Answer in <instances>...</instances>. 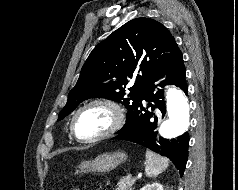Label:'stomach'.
Here are the masks:
<instances>
[{
	"mask_svg": "<svg viewBox=\"0 0 238 190\" xmlns=\"http://www.w3.org/2000/svg\"><path fill=\"white\" fill-rule=\"evenodd\" d=\"M127 155L122 151L104 153L92 161H83L79 165L81 173L99 172L107 173L115 169L119 164L126 161Z\"/></svg>",
	"mask_w": 238,
	"mask_h": 190,
	"instance_id": "stomach-1",
	"label": "stomach"
}]
</instances>
